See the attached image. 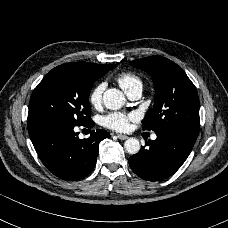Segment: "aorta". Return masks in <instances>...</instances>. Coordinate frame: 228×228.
<instances>
[{
    "mask_svg": "<svg viewBox=\"0 0 228 228\" xmlns=\"http://www.w3.org/2000/svg\"><path fill=\"white\" fill-rule=\"evenodd\" d=\"M104 105L111 110L121 109L126 103L127 98L119 89L111 88L104 93ZM124 147L130 154H135L140 150V142L136 138H129L125 141Z\"/></svg>",
    "mask_w": 228,
    "mask_h": 228,
    "instance_id": "aorta-1",
    "label": "aorta"
}]
</instances>
